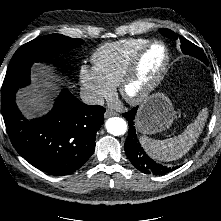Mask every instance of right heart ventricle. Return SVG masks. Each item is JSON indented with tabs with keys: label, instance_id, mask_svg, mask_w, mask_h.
<instances>
[{
	"label": "right heart ventricle",
	"instance_id": "right-heart-ventricle-1",
	"mask_svg": "<svg viewBox=\"0 0 221 221\" xmlns=\"http://www.w3.org/2000/svg\"><path fill=\"white\" fill-rule=\"evenodd\" d=\"M147 42L146 38H126L99 46L92 55V62L99 74L116 86L133 55Z\"/></svg>",
	"mask_w": 221,
	"mask_h": 221
}]
</instances>
